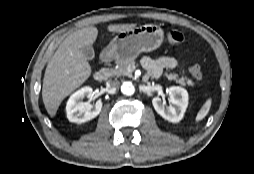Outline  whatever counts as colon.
<instances>
[{
    "label": "colon",
    "instance_id": "colon-1",
    "mask_svg": "<svg viewBox=\"0 0 254 174\" xmlns=\"http://www.w3.org/2000/svg\"><path fill=\"white\" fill-rule=\"evenodd\" d=\"M167 39L172 44H179L183 41L184 37L179 30L171 29L168 31ZM190 72L196 80L200 81L203 79V72L199 64L197 63L192 64L190 67Z\"/></svg>",
    "mask_w": 254,
    "mask_h": 174
}]
</instances>
